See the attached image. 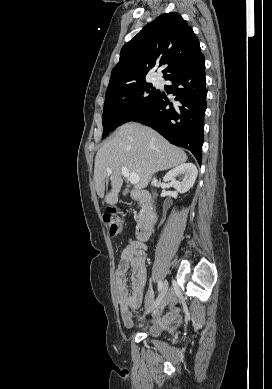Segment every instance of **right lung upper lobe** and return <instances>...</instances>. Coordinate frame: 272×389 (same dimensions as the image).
I'll return each mask as SVG.
<instances>
[{"instance_id": "cb5924a9", "label": "right lung upper lobe", "mask_w": 272, "mask_h": 389, "mask_svg": "<svg viewBox=\"0 0 272 389\" xmlns=\"http://www.w3.org/2000/svg\"><path fill=\"white\" fill-rule=\"evenodd\" d=\"M202 56L198 38L181 15L165 13L122 47L106 92L143 82L153 68L162 65L167 78Z\"/></svg>"}]
</instances>
